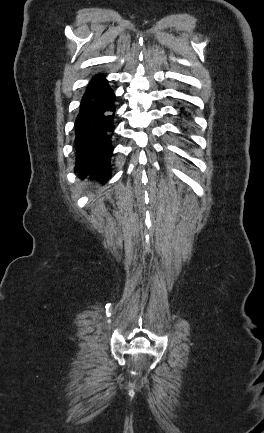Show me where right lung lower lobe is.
Returning a JSON list of instances; mask_svg holds the SVG:
<instances>
[{"instance_id": "98d812e1", "label": "right lung lower lobe", "mask_w": 264, "mask_h": 433, "mask_svg": "<svg viewBox=\"0 0 264 433\" xmlns=\"http://www.w3.org/2000/svg\"><path fill=\"white\" fill-rule=\"evenodd\" d=\"M105 76L98 74L90 81L75 121L77 167L92 169L91 176L104 182L110 179L115 112V95Z\"/></svg>"}]
</instances>
